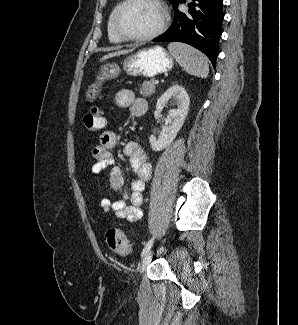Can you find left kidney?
I'll return each mask as SVG.
<instances>
[{
    "instance_id": "obj_1",
    "label": "left kidney",
    "mask_w": 298,
    "mask_h": 325,
    "mask_svg": "<svg viewBox=\"0 0 298 325\" xmlns=\"http://www.w3.org/2000/svg\"><path fill=\"white\" fill-rule=\"evenodd\" d=\"M169 98H174L177 106L176 108H170L169 114H167V118L164 124H162V130L158 138H156L155 134H150L149 142L152 150H163V148L169 146L170 142H173L174 138H176V134H178L188 114L190 96L181 84L169 86V88L157 98L156 110H158V112L164 110Z\"/></svg>"
}]
</instances>
